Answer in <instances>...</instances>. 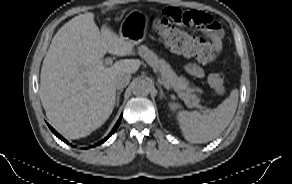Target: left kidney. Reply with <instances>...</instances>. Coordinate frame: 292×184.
I'll return each instance as SVG.
<instances>
[{
    "label": "left kidney",
    "mask_w": 292,
    "mask_h": 184,
    "mask_svg": "<svg viewBox=\"0 0 292 184\" xmlns=\"http://www.w3.org/2000/svg\"><path fill=\"white\" fill-rule=\"evenodd\" d=\"M169 108L172 111H175L177 108H179V105L177 103H169Z\"/></svg>",
    "instance_id": "5707ae66"
}]
</instances>
